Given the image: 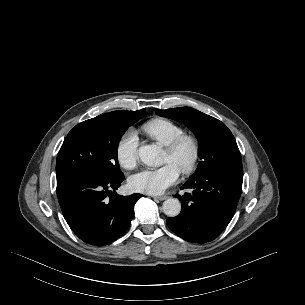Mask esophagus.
<instances>
[{
	"mask_svg": "<svg viewBox=\"0 0 305 305\" xmlns=\"http://www.w3.org/2000/svg\"><path fill=\"white\" fill-rule=\"evenodd\" d=\"M154 199L163 201V200L167 199V196H154Z\"/></svg>",
	"mask_w": 305,
	"mask_h": 305,
	"instance_id": "1",
	"label": "esophagus"
}]
</instances>
